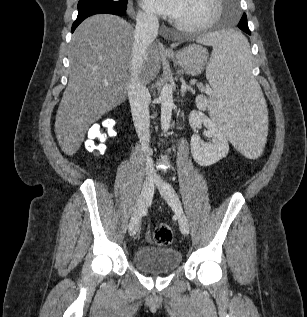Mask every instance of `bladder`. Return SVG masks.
<instances>
[{
  "label": "bladder",
  "mask_w": 307,
  "mask_h": 317,
  "mask_svg": "<svg viewBox=\"0 0 307 317\" xmlns=\"http://www.w3.org/2000/svg\"><path fill=\"white\" fill-rule=\"evenodd\" d=\"M133 259L136 267L148 275L169 273L181 263L180 253L170 247H141L134 253Z\"/></svg>",
  "instance_id": "obj_1"
}]
</instances>
